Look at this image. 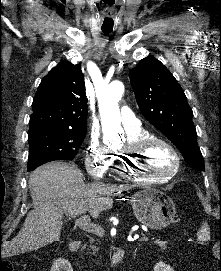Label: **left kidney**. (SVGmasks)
Instances as JSON below:
<instances>
[{
    "mask_svg": "<svg viewBox=\"0 0 221 271\" xmlns=\"http://www.w3.org/2000/svg\"><path fill=\"white\" fill-rule=\"evenodd\" d=\"M154 271H174L170 265H167L165 261H158L156 265H154Z\"/></svg>",
    "mask_w": 221,
    "mask_h": 271,
    "instance_id": "1",
    "label": "left kidney"
}]
</instances>
